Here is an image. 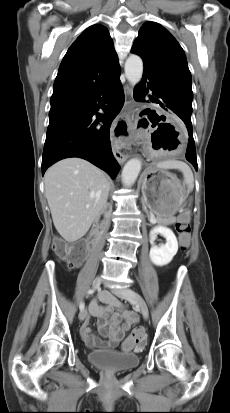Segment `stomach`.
<instances>
[{
	"label": "stomach",
	"instance_id": "obj_1",
	"mask_svg": "<svg viewBox=\"0 0 230 413\" xmlns=\"http://www.w3.org/2000/svg\"><path fill=\"white\" fill-rule=\"evenodd\" d=\"M143 200L159 221L174 216L181 208L185 197V186L178 178L158 167H150L143 174Z\"/></svg>",
	"mask_w": 230,
	"mask_h": 413
}]
</instances>
